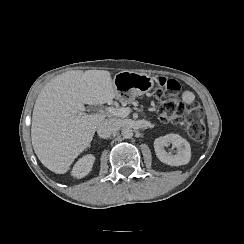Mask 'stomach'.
I'll return each mask as SVG.
<instances>
[{
    "label": "stomach",
    "instance_id": "obj_1",
    "mask_svg": "<svg viewBox=\"0 0 244 244\" xmlns=\"http://www.w3.org/2000/svg\"><path fill=\"white\" fill-rule=\"evenodd\" d=\"M116 99L126 102L142 96L155 87V77L143 72L123 70L113 78Z\"/></svg>",
    "mask_w": 244,
    "mask_h": 244
}]
</instances>
